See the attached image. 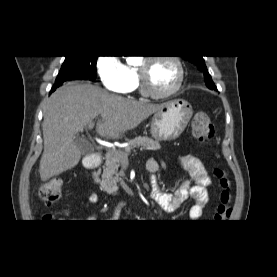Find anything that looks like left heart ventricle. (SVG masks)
Returning a JSON list of instances; mask_svg holds the SVG:
<instances>
[{"instance_id": "1", "label": "left heart ventricle", "mask_w": 277, "mask_h": 277, "mask_svg": "<svg viewBox=\"0 0 277 277\" xmlns=\"http://www.w3.org/2000/svg\"><path fill=\"white\" fill-rule=\"evenodd\" d=\"M142 63L141 66H143ZM146 66L149 88L157 93L170 90L177 80V69L168 60L153 61Z\"/></svg>"}]
</instances>
